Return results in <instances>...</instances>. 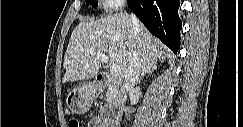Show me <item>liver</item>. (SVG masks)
<instances>
[{"label":"liver","mask_w":243,"mask_h":127,"mask_svg":"<svg viewBox=\"0 0 243 127\" xmlns=\"http://www.w3.org/2000/svg\"><path fill=\"white\" fill-rule=\"evenodd\" d=\"M136 39L139 41L143 68L155 64L158 57L164 59L160 53L165 48L142 24L136 31L129 15L119 13L98 20L81 21L71 34L64 56L62 82L87 80L98 74L101 61L90 54L91 50L105 54L109 64L118 65L120 75L124 77Z\"/></svg>","instance_id":"1"}]
</instances>
